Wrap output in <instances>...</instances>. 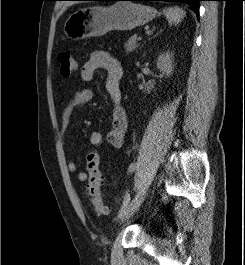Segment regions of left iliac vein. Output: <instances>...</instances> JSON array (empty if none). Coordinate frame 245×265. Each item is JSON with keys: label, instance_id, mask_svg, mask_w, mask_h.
Wrapping results in <instances>:
<instances>
[{"label": "left iliac vein", "instance_id": "left-iliac-vein-1", "mask_svg": "<svg viewBox=\"0 0 245 265\" xmlns=\"http://www.w3.org/2000/svg\"><path fill=\"white\" fill-rule=\"evenodd\" d=\"M146 194H147L146 189L138 192L136 197L132 200L131 204L129 205L127 211L122 216H120V220L122 222L127 221L134 214V212L139 208L140 204L144 201Z\"/></svg>", "mask_w": 245, "mask_h": 265}]
</instances>
